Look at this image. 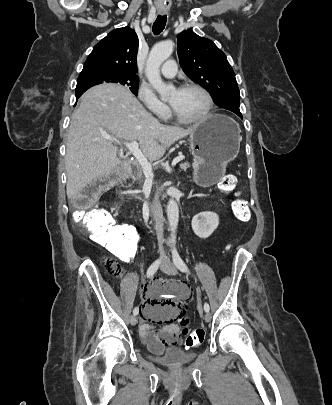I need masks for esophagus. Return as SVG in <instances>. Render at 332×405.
Segmentation results:
<instances>
[{
    "mask_svg": "<svg viewBox=\"0 0 332 405\" xmlns=\"http://www.w3.org/2000/svg\"><path fill=\"white\" fill-rule=\"evenodd\" d=\"M160 13H161V14H165L166 11H165V10H161Z\"/></svg>",
    "mask_w": 332,
    "mask_h": 405,
    "instance_id": "esophagus-1",
    "label": "esophagus"
}]
</instances>
